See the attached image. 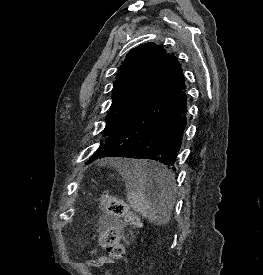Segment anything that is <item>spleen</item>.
I'll return each instance as SVG.
<instances>
[{"mask_svg":"<svg viewBox=\"0 0 263 275\" xmlns=\"http://www.w3.org/2000/svg\"><path fill=\"white\" fill-rule=\"evenodd\" d=\"M117 166L126 181L127 201L132 209L152 224L166 225L174 202V175L166 167L144 160H121ZM147 169L163 173L169 178L167 183L157 182L160 191L154 200L147 194L148 186L152 183V179L145 173Z\"/></svg>","mask_w":263,"mask_h":275,"instance_id":"1","label":"spleen"}]
</instances>
